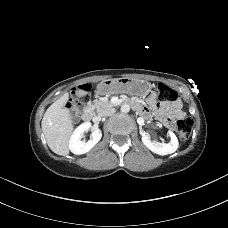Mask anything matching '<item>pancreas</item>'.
<instances>
[{
  "mask_svg": "<svg viewBox=\"0 0 228 228\" xmlns=\"http://www.w3.org/2000/svg\"><path fill=\"white\" fill-rule=\"evenodd\" d=\"M112 106H114V104H112L107 99H103V100H100V101H94L91 104V107L96 109L97 113H101L104 109L110 108Z\"/></svg>",
  "mask_w": 228,
  "mask_h": 228,
  "instance_id": "1",
  "label": "pancreas"
}]
</instances>
